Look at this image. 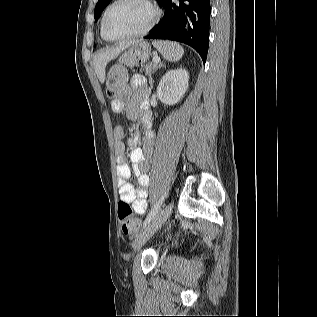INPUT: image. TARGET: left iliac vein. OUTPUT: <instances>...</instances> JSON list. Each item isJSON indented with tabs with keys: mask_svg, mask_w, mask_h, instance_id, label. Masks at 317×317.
<instances>
[{
	"mask_svg": "<svg viewBox=\"0 0 317 317\" xmlns=\"http://www.w3.org/2000/svg\"><path fill=\"white\" fill-rule=\"evenodd\" d=\"M172 212V204H168L139 234L133 243L135 250L142 247L154 233L166 222Z\"/></svg>",
	"mask_w": 317,
	"mask_h": 317,
	"instance_id": "1",
	"label": "left iliac vein"
}]
</instances>
